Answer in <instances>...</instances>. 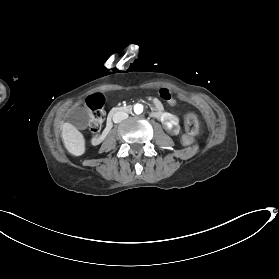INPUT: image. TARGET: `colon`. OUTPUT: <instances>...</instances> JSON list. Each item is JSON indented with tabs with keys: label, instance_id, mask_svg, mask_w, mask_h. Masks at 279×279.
<instances>
[{
	"label": "colon",
	"instance_id": "1",
	"mask_svg": "<svg viewBox=\"0 0 279 279\" xmlns=\"http://www.w3.org/2000/svg\"><path fill=\"white\" fill-rule=\"evenodd\" d=\"M104 121V112L102 109H97L94 111L90 123H89V131L91 133H97L100 131L102 124ZM185 127L188 133V136L185 138L187 143L192 141V136L199 133L200 130V122L196 114L189 113L185 119Z\"/></svg>",
	"mask_w": 279,
	"mask_h": 279
}]
</instances>
